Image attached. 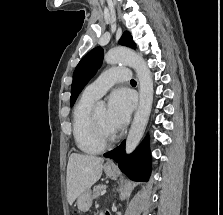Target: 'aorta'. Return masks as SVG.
<instances>
[{
	"label": "aorta",
	"mask_w": 223,
	"mask_h": 215,
	"mask_svg": "<svg viewBox=\"0 0 223 215\" xmlns=\"http://www.w3.org/2000/svg\"><path fill=\"white\" fill-rule=\"evenodd\" d=\"M104 62H107V64H124L134 68L139 80V106L126 139V151L131 153L138 145L151 113L154 94L151 72L143 56H139V54L128 50V48H113V50H109L104 56ZM98 106L99 108H104L105 104L104 102H98Z\"/></svg>",
	"instance_id": "obj_1"
}]
</instances>
